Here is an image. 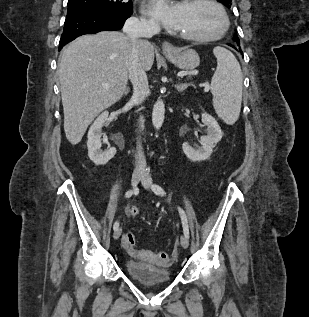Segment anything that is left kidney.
<instances>
[{"label": "left kidney", "instance_id": "left-kidney-1", "mask_svg": "<svg viewBox=\"0 0 309 317\" xmlns=\"http://www.w3.org/2000/svg\"><path fill=\"white\" fill-rule=\"evenodd\" d=\"M202 122L207 126V135L201 138V146L194 148L187 142L182 144L186 157L193 162H201L209 158L213 148L222 138V131L214 117L208 113L202 114Z\"/></svg>", "mask_w": 309, "mask_h": 317}]
</instances>
